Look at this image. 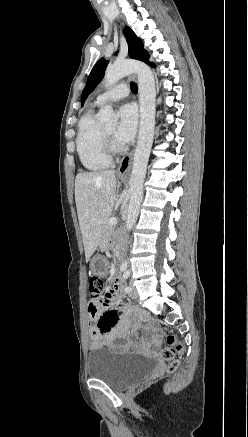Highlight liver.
<instances>
[{
  "label": "liver",
  "instance_id": "obj_1",
  "mask_svg": "<svg viewBox=\"0 0 248 437\" xmlns=\"http://www.w3.org/2000/svg\"><path fill=\"white\" fill-rule=\"evenodd\" d=\"M118 188L113 170L82 172L75 178V202L87 261L102 242Z\"/></svg>",
  "mask_w": 248,
  "mask_h": 437
}]
</instances>
